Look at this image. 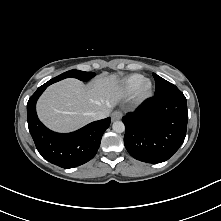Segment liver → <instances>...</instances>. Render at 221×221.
<instances>
[{"label": "liver", "mask_w": 221, "mask_h": 221, "mask_svg": "<svg viewBox=\"0 0 221 221\" xmlns=\"http://www.w3.org/2000/svg\"><path fill=\"white\" fill-rule=\"evenodd\" d=\"M123 91L116 75L99 76L89 85L69 78L49 86L37 102L39 119L51 130L74 131L91 121L90 114L114 107Z\"/></svg>", "instance_id": "obj_1"}]
</instances>
